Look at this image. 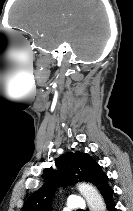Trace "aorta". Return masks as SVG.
<instances>
[{"instance_id":"obj_1","label":"aorta","mask_w":133,"mask_h":211,"mask_svg":"<svg viewBox=\"0 0 133 211\" xmlns=\"http://www.w3.org/2000/svg\"><path fill=\"white\" fill-rule=\"evenodd\" d=\"M77 188L85 198L90 211H106L103 198L96 188L88 183H79Z\"/></svg>"}]
</instances>
